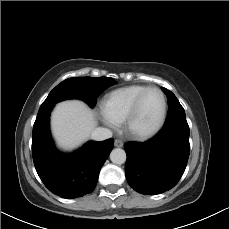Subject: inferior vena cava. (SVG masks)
Here are the masks:
<instances>
[{"instance_id": "1", "label": "inferior vena cava", "mask_w": 229, "mask_h": 229, "mask_svg": "<svg viewBox=\"0 0 229 229\" xmlns=\"http://www.w3.org/2000/svg\"><path fill=\"white\" fill-rule=\"evenodd\" d=\"M111 137H112L111 130L103 127H98L91 133V138L95 141H103Z\"/></svg>"}]
</instances>
